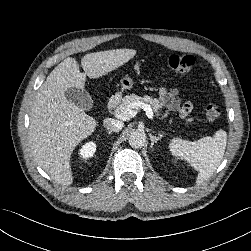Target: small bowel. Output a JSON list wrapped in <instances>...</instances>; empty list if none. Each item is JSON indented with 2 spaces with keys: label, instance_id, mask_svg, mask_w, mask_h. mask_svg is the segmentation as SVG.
Here are the masks:
<instances>
[{
  "label": "small bowel",
  "instance_id": "obj_1",
  "mask_svg": "<svg viewBox=\"0 0 251 251\" xmlns=\"http://www.w3.org/2000/svg\"><path fill=\"white\" fill-rule=\"evenodd\" d=\"M159 97L168 109L178 111L182 118L187 117L192 111L193 106L190 102L181 104L176 89H167L163 87L159 90Z\"/></svg>",
  "mask_w": 251,
  "mask_h": 251
}]
</instances>
